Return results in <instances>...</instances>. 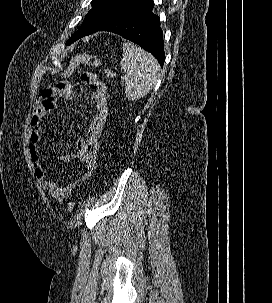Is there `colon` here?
<instances>
[{"label":"colon","instance_id":"1","mask_svg":"<svg viewBox=\"0 0 272 303\" xmlns=\"http://www.w3.org/2000/svg\"><path fill=\"white\" fill-rule=\"evenodd\" d=\"M78 65H86L90 67H98L100 65V61L97 56L91 55V54H82L77 55L74 58L71 59L68 67L67 73H70L76 66ZM115 71L112 69L106 70V76L110 79L115 77ZM74 210V203L69 202L67 205V211L69 213L73 212Z\"/></svg>","mask_w":272,"mask_h":303}]
</instances>
